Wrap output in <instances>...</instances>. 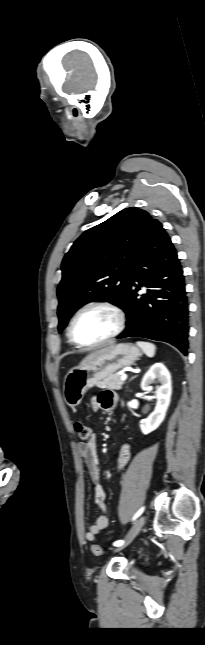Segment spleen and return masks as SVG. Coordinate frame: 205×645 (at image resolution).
Returning <instances> with one entry per match:
<instances>
[{"instance_id": "spleen-1", "label": "spleen", "mask_w": 205, "mask_h": 645, "mask_svg": "<svg viewBox=\"0 0 205 645\" xmlns=\"http://www.w3.org/2000/svg\"><path fill=\"white\" fill-rule=\"evenodd\" d=\"M137 345L143 350V352L148 357H153L155 355L156 346L150 342L138 341Z\"/></svg>"}]
</instances>
